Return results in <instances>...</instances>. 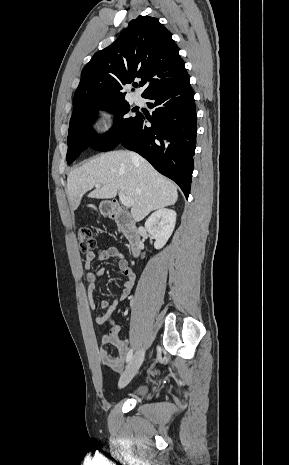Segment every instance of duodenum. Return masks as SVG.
Returning a JSON list of instances; mask_svg holds the SVG:
<instances>
[{"mask_svg":"<svg viewBox=\"0 0 289 465\" xmlns=\"http://www.w3.org/2000/svg\"><path fill=\"white\" fill-rule=\"evenodd\" d=\"M104 212L118 223L129 242L132 256L137 257L141 252L142 236L129 213L122 209L116 200H110Z\"/></svg>","mask_w":289,"mask_h":465,"instance_id":"410a0bca","label":"duodenum"}]
</instances>
